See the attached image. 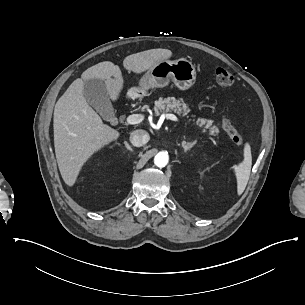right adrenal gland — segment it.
<instances>
[{"mask_svg":"<svg viewBox=\"0 0 305 305\" xmlns=\"http://www.w3.org/2000/svg\"><path fill=\"white\" fill-rule=\"evenodd\" d=\"M125 146L128 150L133 151V149L131 148V146L125 141Z\"/></svg>","mask_w":305,"mask_h":305,"instance_id":"2a0ac1e0","label":"right adrenal gland"}]
</instances>
